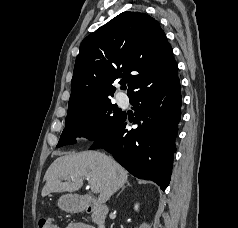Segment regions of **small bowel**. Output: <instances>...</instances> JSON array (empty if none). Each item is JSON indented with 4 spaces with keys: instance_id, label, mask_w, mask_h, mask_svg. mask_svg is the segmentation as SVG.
<instances>
[{
    "instance_id": "obj_1",
    "label": "small bowel",
    "mask_w": 238,
    "mask_h": 228,
    "mask_svg": "<svg viewBox=\"0 0 238 228\" xmlns=\"http://www.w3.org/2000/svg\"><path fill=\"white\" fill-rule=\"evenodd\" d=\"M65 228H92L90 225L82 222H70Z\"/></svg>"
}]
</instances>
